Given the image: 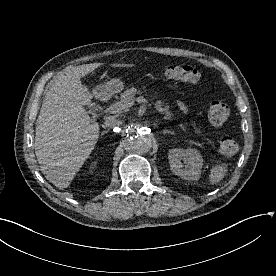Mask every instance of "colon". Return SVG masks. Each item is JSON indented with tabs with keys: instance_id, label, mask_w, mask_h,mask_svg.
Segmentation results:
<instances>
[{
	"instance_id": "colon-1",
	"label": "colon",
	"mask_w": 276,
	"mask_h": 276,
	"mask_svg": "<svg viewBox=\"0 0 276 276\" xmlns=\"http://www.w3.org/2000/svg\"><path fill=\"white\" fill-rule=\"evenodd\" d=\"M170 80L196 84L201 80L199 71L189 65L168 66L163 71ZM230 114L229 106L220 100L213 101L208 109V119L216 126L226 122ZM219 153L224 158L233 157L239 150L238 142L231 136H223L219 142Z\"/></svg>"
}]
</instances>
